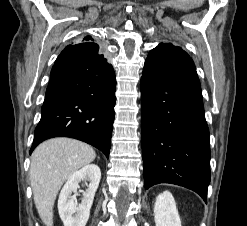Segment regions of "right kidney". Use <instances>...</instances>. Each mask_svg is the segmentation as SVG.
I'll return each instance as SVG.
<instances>
[{
    "label": "right kidney",
    "mask_w": 247,
    "mask_h": 226,
    "mask_svg": "<svg viewBox=\"0 0 247 226\" xmlns=\"http://www.w3.org/2000/svg\"><path fill=\"white\" fill-rule=\"evenodd\" d=\"M100 178V168L95 164L84 166L68 178L58 199V211L64 226L86 225ZM81 181H89V185L82 194L81 203L76 205L74 199L76 195H78L77 189ZM72 193H74V195H72Z\"/></svg>",
    "instance_id": "1"
}]
</instances>
